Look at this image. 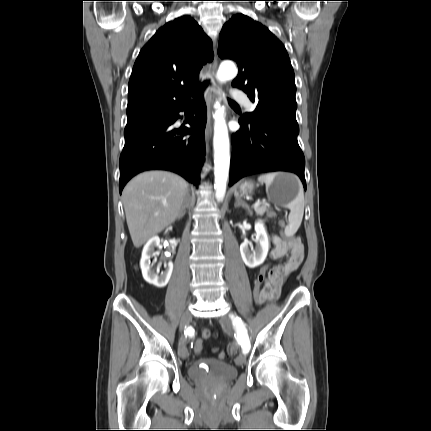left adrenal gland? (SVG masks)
Instances as JSON below:
<instances>
[{
  "mask_svg": "<svg viewBox=\"0 0 431 431\" xmlns=\"http://www.w3.org/2000/svg\"><path fill=\"white\" fill-rule=\"evenodd\" d=\"M240 206L245 208L248 211V213L250 215H252V210H251L250 206L242 200L241 196H236V201H235L234 207L237 208Z\"/></svg>",
  "mask_w": 431,
  "mask_h": 431,
  "instance_id": "left-adrenal-gland-1",
  "label": "left adrenal gland"
}]
</instances>
